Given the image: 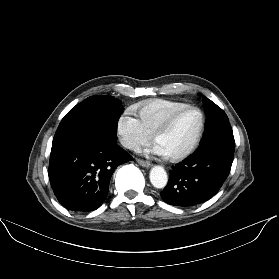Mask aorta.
Here are the masks:
<instances>
[{
  "instance_id": "obj_1",
  "label": "aorta",
  "mask_w": 279,
  "mask_h": 279,
  "mask_svg": "<svg viewBox=\"0 0 279 279\" xmlns=\"http://www.w3.org/2000/svg\"><path fill=\"white\" fill-rule=\"evenodd\" d=\"M150 182L158 189L164 188L168 181L165 169L161 166H154L150 171Z\"/></svg>"
}]
</instances>
